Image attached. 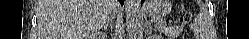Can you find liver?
I'll return each instance as SVG.
<instances>
[{"mask_svg": "<svg viewBox=\"0 0 249 39\" xmlns=\"http://www.w3.org/2000/svg\"><path fill=\"white\" fill-rule=\"evenodd\" d=\"M116 0H38L37 33L40 39H95Z\"/></svg>", "mask_w": 249, "mask_h": 39, "instance_id": "1", "label": "liver"}]
</instances>
